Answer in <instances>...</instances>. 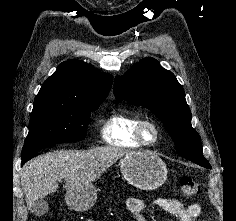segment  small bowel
I'll use <instances>...</instances> for the list:
<instances>
[{
	"instance_id": "small-bowel-1",
	"label": "small bowel",
	"mask_w": 236,
	"mask_h": 221,
	"mask_svg": "<svg viewBox=\"0 0 236 221\" xmlns=\"http://www.w3.org/2000/svg\"><path fill=\"white\" fill-rule=\"evenodd\" d=\"M154 205L176 216L178 221H194L201 213V206L198 203L185 205L174 197L158 198L154 201ZM145 207L146 204L142 198L130 197L127 199V209L136 221H146L142 216Z\"/></svg>"
}]
</instances>
